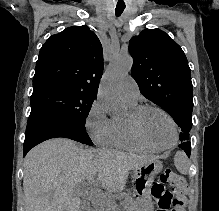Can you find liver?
<instances>
[{"label":"liver","instance_id":"6515ba94","mask_svg":"<svg viewBox=\"0 0 219 211\" xmlns=\"http://www.w3.org/2000/svg\"><path fill=\"white\" fill-rule=\"evenodd\" d=\"M148 159L152 157L116 149H83L67 137L47 139L24 157L25 211H79L83 205L74 187L85 179L94 183L92 197L106 201L101 189L122 191L130 169Z\"/></svg>","mask_w":219,"mask_h":211}]
</instances>
